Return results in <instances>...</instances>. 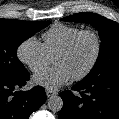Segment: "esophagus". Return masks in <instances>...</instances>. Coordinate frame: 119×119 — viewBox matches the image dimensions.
I'll use <instances>...</instances> for the list:
<instances>
[{"label": "esophagus", "mask_w": 119, "mask_h": 119, "mask_svg": "<svg viewBox=\"0 0 119 119\" xmlns=\"http://www.w3.org/2000/svg\"><path fill=\"white\" fill-rule=\"evenodd\" d=\"M56 94H57L56 91L46 89V95H47V97H52V96H54Z\"/></svg>", "instance_id": "1"}]
</instances>
